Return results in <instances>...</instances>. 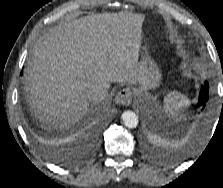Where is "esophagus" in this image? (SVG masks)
<instances>
[{
  "mask_svg": "<svg viewBox=\"0 0 223 188\" xmlns=\"http://www.w3.org/2000/svg\"><path fill=\"white\" fill-rule=\"evenodd\" d=\"M132 102V93L129 89H121L115 97V103L117 105L129 106Z\"/></svg>",
  "mask_w": 223,
  "mask_h": 188,
  "instance_id": "1",
  "label": "esophagus"
}]
</instances>
